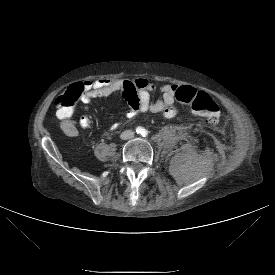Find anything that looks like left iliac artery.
Wrapping results in <instances>:
<instances>
[{
	"label": "left iliac artery",
	"mask_w": 275,
	"mask_h": 275,
	"mask_svg": "<svg viewBox=\"0 0 275 275\" xmlns=\"http://www.w3.org/2000/svg\"><path fill=\"white\" fill-rule=\"evenodd\" d=\"M147 135H148V131L144 129L143 132H142V136L145 137Z\"/></svg>",
	"instance_id": "left-iliac-artery-1"
}]
</instances>
